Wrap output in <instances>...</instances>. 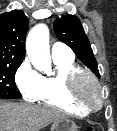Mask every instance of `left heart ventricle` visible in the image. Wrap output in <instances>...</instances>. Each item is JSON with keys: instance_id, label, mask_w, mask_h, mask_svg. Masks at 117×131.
Returning <instances> with one entry per match:
<instances>
[{"instance_id": "left-heart-ventricle-1", "label": "left heart ventricle", "mask_w": 117, "mask_h": 131, "mask_svg": "<svg viewBox=\"0 0 117 131\" xmlns=\"http://www.w3.org/2000/svg\"><path fill=\"white\" fill-rule=\"evenodd\" d=\"M84 91L89 96H92L95 92L93 85L89 82L85 84Z\"/></svg>"}]
</instances>
